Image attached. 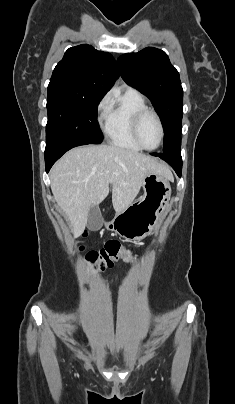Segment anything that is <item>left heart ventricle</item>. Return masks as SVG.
<instances>
[{"mask_svg":"<svg viewBox=\"0 0 235 404\" xmlns=\"http://www.w3.org/2000/svg\"><path fill=\"white\" fill-rule=\"evenodd\" d=\"M139 136L142 144L146 147H155L160 138L159 125L153 115H146L139 128Z\"/></svg>","mask_w":235,"mask_h":404,"instance_id":"obj_1","label":"left heart ventricle"}]
</instances>
